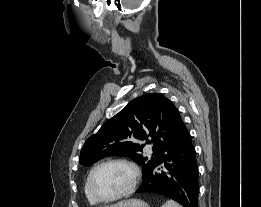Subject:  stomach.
Segmentation results:
<instances>
[{
  "instance_id": "obj_1",
  "label": "stomach",
  "mask_w": 261,
  "mask_h": 207,
  "mask_svg": "<svg viewBox=\"0 0 261 207\" xmlns=\"http://www.w3.org/2000/svg\"><path fill=\"white\" fill-rule=\"evenodd\" d=\"M106 207H150L146 202L139 199H127Z\"/></svg>"
}]
</instances>
